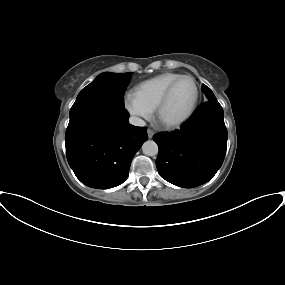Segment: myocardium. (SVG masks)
<instances>
[{
	"label": "myocardium",
	"mask_w": 285,
	"mask_h": 285,
	"mask_svg": "<svg viewBox=\"0 0 285 285\" xmlns=\"http://www.w3.org/2000/svg\"><path fill=\"white\" fill-rule=\"evenodd\" d=\"M190 79L195 87V97H194V101L190 107V109L188 110V112L182 116L180 119L175 120V121H164L162 119V111L164 109V107L166 106L171 93L173 91V89L175 88V86L177 85V83L182 80V79ZM199 98H200V88L198 85V82L196 81V79L188 74H184V75H180L179 77H177L175 80H173L168 87L166 88V90L164 91L163 95L161 96L159 102L156 105L155 108V116H156V121L157 123L164 129L166 130H173V129H177L179 127H181L183 124H185L195 113L197 107H198V103H199Z\"/></svg>",
	"instance_id": "f54148a6"
}]
</instances>
